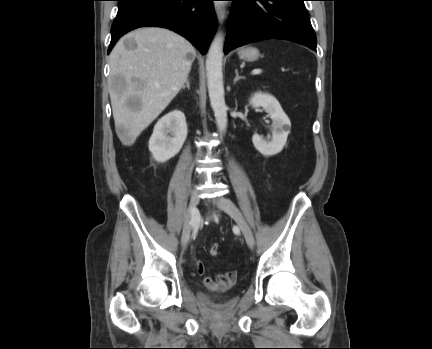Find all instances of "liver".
I'll return each mask as SVG.
<instances>
[{"label":"liver","mask_w":432,"mask_h":349,"mask_svg":"<svg viewBox=\"0 0 432 349\" xmlns=\"http://www.w3.org/2000/svg\"><path fill=\"white\" fill-rule=\"evenodd\" d=\"M133 39L135 49L125 40ZM196 52L182 36L164 28L129 32L110 54L109 94L115 130L131 146L184 85Z\"/></svg>","instance_id":"obj_1"}]
</instances>
